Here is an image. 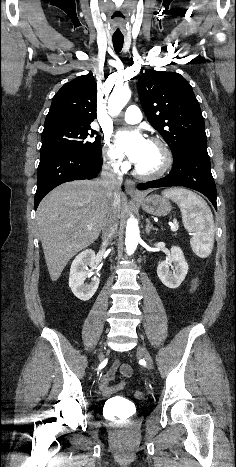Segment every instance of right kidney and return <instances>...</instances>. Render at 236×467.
Masks as SVG:
<instances>
[{"label":"right kidney","instance_id":"1","mask_svg":"<svg viewBox=\"0 0 236 467\" xmlns=\"http://www.w3.org/2000/svg\"><path fill=\"white\" fill-rule=\"evenodd\" d=\"M95 252L91 249L84 250L78 254L73 260L70 268L69 276V287L73 294L82 301H88L95 294L99 286V278L94 276L91 278L89 284H85L84 281L87 276H91V270H88V266L95 269Z\"/></svg>","mask_w":236,"mask_h":467}]
</instances>
